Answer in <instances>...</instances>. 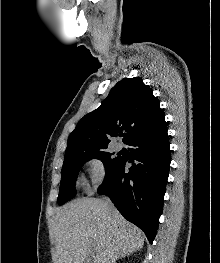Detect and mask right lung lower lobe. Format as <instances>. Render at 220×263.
Returning a JSON list of instances; mask_svg holds the SVG:
<instances>
[{"mask_svg": "<svg viewBox=\"0 0 220 263\" xmlns=\"http://www.w3.org/2000/svg\"><path fill=\"white\" fill-rule=\"evenodd\" d=\"M132 167L119 160L106 173L98 193L106 194L123 217L141 228L153 242L167 184L171 154L167 130L159 135H140L129 143Z\"/></svg>", "mask_w": 220, "mask_h": 263, "instance_id": "right-lung-lower-lobe-1", "label": "right lung lower lobe"}]
</instances>
